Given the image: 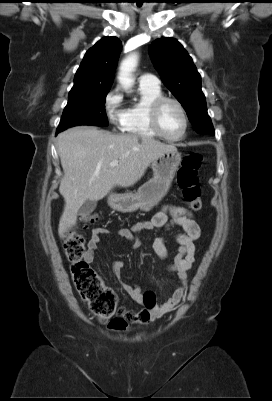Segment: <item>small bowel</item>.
Here are the masks:
<instances>
[{"mask_svg": "<svg viewBox=\"0 0 272 401\" xmlns=\"http://www.w3.org/2000/svg\"><path fill=\"white\" fill-rule=\"evenodd\" d=\"M173 226L180 227L181 231L172 234L173 239L177 243V247L174 250V257L172 263L169 265V270L177 275L179 286L174 290L170 298L159 306H154L150 309L143 308L138 311L121 309V314L111 322L112 329L119 332H126L128 330V323L147 324L173 310L184 298L188 282V271L195 260V242L201 235L199 224L187 209L181 206L167 204L155 213L151 219L137 222L130 227L120 228L117 230L116 234L127 240L132 247H138L141 244L140 233L162 229L170 230ZM109 233L110 231L103 227H97L92 230L88 248L84 256L88 263L94 260L95 252L101 241V236ZM153 250L162 260L167 259L169 256L166 241L161 236L155 238ZM124 265V262L121 260L113 263V274L119 280ZM120 283L134 302L142 304L143 297L141 289L138 286L130 285L122 281H120Z\"/></svg>", "mask_w": 272, "mask_h": 401, "instance_id": "obj_1", "label": "small bowel"}]
</instances>
